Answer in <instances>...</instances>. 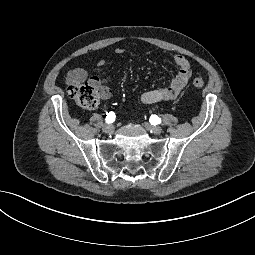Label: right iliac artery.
I'll return each mask as SVG.
<instances>
[{
  "label": "right iliac artery",
  "mask_w": 255,
  "mask_h": 255,
  "mask_svg": "<svg viewBox=\"0 0 255 255\" xmlns=\"http://www.w3.org/2000/svg\"><path fill=\"white\" fill-rule=\"evenodd\" d=\"M115 117H116L115 113L111 111V112L107 113L105 121L107 123H112L115 120Z\"/></svg>",
  "instance_id": "82829eb1"
}]
</instances>
